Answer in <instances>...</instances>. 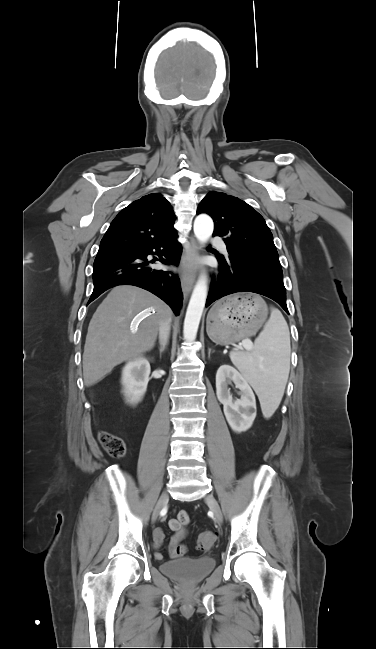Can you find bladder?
Wrapping results in <instances>:
<instances>
[{"instance_id": "bladder-1", "label": "bladder", "mask_w": 376, "mask_h": 649, "mask_svg": "<svg viewBox=\"0 0 376 649\" xmlns=\"http://www.w3.org/2000/svg\"><path fill=\"white\" fill-rule=\"evenodd\" d=\"M215 565L216 562L211 557L182 558L163 562L160 570L178 581L196 583L204 579Z\"/></svg>"}]
</instances>
